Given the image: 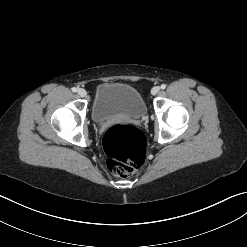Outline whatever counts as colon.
I'll return each mask as SVG.
<instances>
[{
  "label": "colon",
  "mask_w": 247,
  "mask_h": 247,
  "mask_svg": "<svg viewBox=\"0 0 247 247\" xmlns=\"http://www.w3.org/2000/svg\"><path fill=\"white\" fill-rule=\"evenodd\" d=\"M108 170L118 177H128L140 168L145 160V137L134 126L116 124L103 136Z\"/></svg>",
  "instance_id": "obj_1"
}]
</instances>
